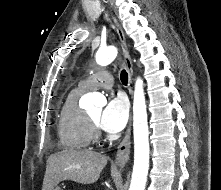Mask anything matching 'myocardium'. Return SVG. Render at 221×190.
<instances>
[{
  "instance_id": "1",
  "label": "myocardium",
  "mask_w": 221,
  "mask_h": 190,
  "mask_svg": "<svg viewBox=\"0 0 221 190\" xmlns=\"http://www.w3.org/2000/svg\"><path fill=\"white\" fill-rule=\"evenodd\" d=\"M88 122L90 125L91 132L95 134V138L96 139L99 138V135L97 132V123L90 116H88Z\"/></svg>"
}]
</instances>
